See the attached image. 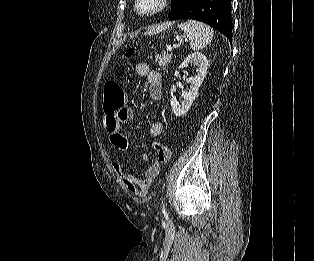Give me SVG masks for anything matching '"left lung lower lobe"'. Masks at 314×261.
<instances>
[{"instance_id":"1","label":"left lung lower lobe","mask_w":314,"mask_h":261,"mask_svg":"<svg viewBox=\"0 0 314 261\" xmlns=\"http://www.w3.org/2000/svg\"><path fill=\"white\" fill-rule=\"evenodd\" d=\"M231 0H184L170 20L202 21L232 40Z\"/></svg>"}]
</instances>
